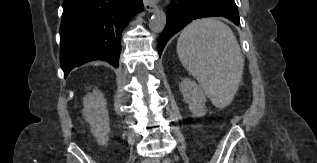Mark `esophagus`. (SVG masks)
<instances>
[{
	"label": "esophagus",
	"instance_id": "34e87169",
	"mask_svg": "<svg viewBox=\"0 0 317 163\" xmlns=\"http://www.w3.org/2000/svg\"><path fill=\"white\" fill-rule=\"evenodd\" d=\"M144 7L149 13H152L157 10V6L150 0H144Z\"/></svg>",
	"mask_w": 317,
	"mask_h": 163
}]
</instances>
